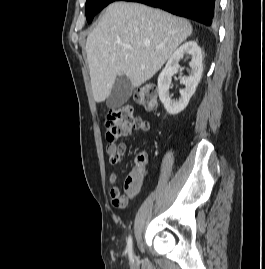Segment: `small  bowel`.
Here are the masks:
<instances>
[{
    "instance_id": "small-bowel-1",
    "label": "small bowel",
    "mask_w": 265,
    "mask_h": 269,
    "mask_svg": "<svg viewBox=\"0 0 265 269\" xmlns=\"http://www.w3.org/2000/svg\"><path fill=\"white\" fill-rule=\"evenodd\" d=\"M146 126L141 131H148L150 126L145 120ZM106 152L109 155L110 163L112 165H117L123 161L125 145H118L114 142H110L106 147ZM116 181V175L112 174L110 176V182L114 183ZM143 183V175L139 170H133L126 177L124 182V194H122L119 188L113 186L109 190V196L111 203L116 208H126L129 202L140 192Z\"/></svg>"
}]
</instances>
